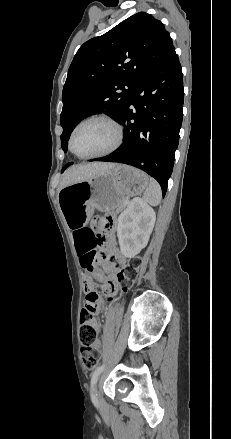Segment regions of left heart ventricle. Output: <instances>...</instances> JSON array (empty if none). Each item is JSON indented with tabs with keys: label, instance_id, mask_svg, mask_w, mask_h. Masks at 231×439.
I'll return each instance as SVG.
<instances>
[{
	"label": "left heart ventricle",
	"instance_id": "1",
	"mask_svg": "<svg viewBox=\"0 0 231 439\" xmlns=\"http://www.w3.org/2000/svg\"><path fill=\"white\" fill-rule=\"evenodd\" d=\"M115 140L113 127L103 120H92L78 128L73 138L74 151L79 155L99 153Z\"/></svg>",
	"mask_w": 231,
	"mask_h": 439
}]
</instances>
